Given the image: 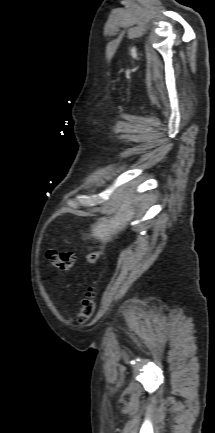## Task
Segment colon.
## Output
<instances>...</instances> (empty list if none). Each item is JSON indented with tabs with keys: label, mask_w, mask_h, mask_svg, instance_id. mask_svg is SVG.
I'll return each instance as SVG.
<instances>
[{
	"label": "colon",
	"mask_w": 215,
	"mask_h": 433,
	"mask_svg": "<svg viewBox=\"0 0 215 433\" xmlns=\"http://www.w3.org/2000/svg\"><path fill=\"white\" fill-rule=\"evenodd\" d=\"M47 259L50 264L61 271L70 270L75 261L76 254L74 252H61L55 249H49L47 251ZM99 258V252L94 251L88 255L87 262L89 264H94ZM96 306V290L95 285L90 286L87 291L84 293L80 309L76 315L75 322L77 324H85L87 323L95 310Z\"/></svg>",
	"instance_id": "1"
}]
</instances>
